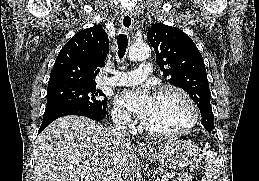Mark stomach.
Listing matches in <instances>:
<instances>
[{"label":"stomach","instance_id":"1","mask_svg":"<svg viewBox=\"0 0 259 181\" xmlns=\"http://www.w3.org/2000/svg\"><path fill=\"white\" fill-rule=\"evenodd\" d=\"M140 154L151 161H158L166 167L176 169L195 162L200 154V148L191 140L172 138Z\"/></svg>","mask_w":259,"mask_h":181}]
</instances>
